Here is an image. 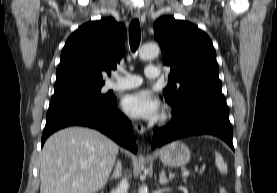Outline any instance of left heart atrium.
Here are the masks:
<instances>
[{
	"label": "left heart atrium",
	"instance_id": "left-heart-atrium-1",
	"mask_svg": "<svg viewBox=\"0 0 277 193\" xmlns=\"http://www.w3.org/2000/svg\"><path fill=\"white\" fill-rule=\"evenodd\" d=\"M124 111L137 119H156L160 111V102L147 90L128 94L122 101Z\"/></svg>",
	"mask_w": 277,
	"mask_h": 193
}]
</instances>
